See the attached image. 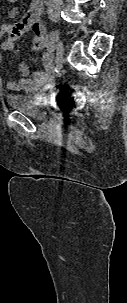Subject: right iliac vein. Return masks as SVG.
I'll use <instances>...</instances> for the list:
<instances>
[{
  "instance_id": "63e3f726",
  "label": "right iliac vein",
  "mask_w": 127,
  "mask_h": 303,
  "mask_svg": "<svg viewBox=\"0 0 127 303\" xmlns=\"http://www.w3.org/2000/svg\"><path fill=\"white\" fill-rule=\"evenodd\" d=\"M63 55H64L63 43L61 41H59L56 46V62L57 63H60L62 61Z\"/></svg>"
}]
</instances>
